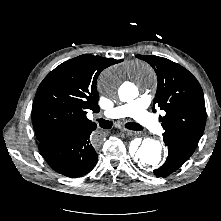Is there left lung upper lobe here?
Masks as SVG:
<instances>
[{
    "label": "left lung upper lobe",
    "mask_w": 221,
    "mask_h": 221,
    "mask_svg": "<svg viewBox=\"0 0 221 221\" xmlns=\"http://www.w3.org/2000/svg\"><path fill=\"white\" fill-rule=\"evenodd\" d=\"M136 57L148 62L157 74L154 105L166 112L164 117L159 118L165 130L163 138L172 137L197 146L206 124L204 95L197 79L166 58L152 55Z\"/></svg>",
    "instance_id": "left-lung-upper-lobe-1"
}]
</instances>
